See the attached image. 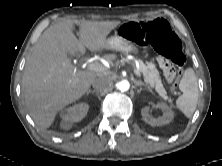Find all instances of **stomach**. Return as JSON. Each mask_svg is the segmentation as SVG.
Returning <instances> with one entry per match:
<instances>
[{
	"instance_id": "obj_1",
	"label": "stomach",
	"mask_w": 222,
	"mask_h": 166,
	"mask_svg": "<svg viewBox=\"0 0 222 166\" xmlns=\"http://www.w3.org/2000/svg\"><path fill=\"white\" fill-rule=\"evenodd\" d=\"M106 48L124 53L138 52L137 47L131 41H125L118 33L106 39Z\"/></svg>"
}]
</instances>
